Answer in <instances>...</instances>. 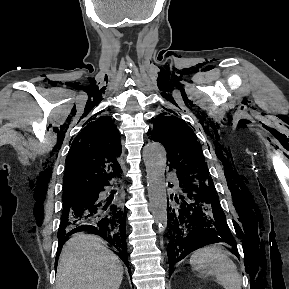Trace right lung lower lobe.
I'll list each match as a JSON object with an SVG mask.
<instances>
[{
  "mask_svg": "<svg viewBox=\"0 0 289 289\" xmlns=\"http://www.w3.org/2000/svg\"><path fill=\"white\" fill-rule=\"evenodd\" d=\"M109 182L102 183L86 192L87 198L72 208L63 209L58 229V253L56 266L63 244L77 232H90L101 236L113 246V251L129 268L126 245V209L122 210L112 200L101 201L99 193ZM131 274V272H130Z\"/></svg>",
  "mask_w": 289,
  "mask_h": 289,
  "instance_id": "right-lung-lower-lobe-1",
  "label": "right lung lower lobe"
}]
</instances>
